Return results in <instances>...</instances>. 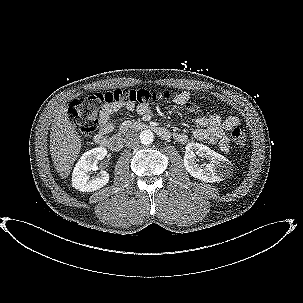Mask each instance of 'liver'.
Wrapping results in <instances>:
<instances>
[{
  "instance_id": "6515ba94",
  "label": "liver",
  "mask_w": 303,
  "mask_h": 303,
  "mask_svg": "<svg viewBox=\"0 0 303 303\" xmlns=\"http://www.w3.org/2000/svg\"><path fill=\"white\" fill-rule=\"evenodd\" d=\"M68 105L61 103L50 132V152L56 171L62 179L69 176L81 150V139L68 118Z\"/></svg>"
}]
</instances>
